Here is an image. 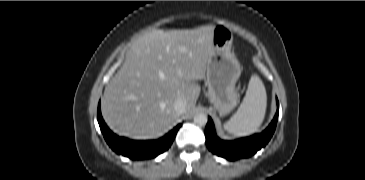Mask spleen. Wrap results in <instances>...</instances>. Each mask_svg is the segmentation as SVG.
I'll return each instance as SVG.
<instances>
[{
    "mask_svg": "<svg viewBox=\"0 0 365 180\" xmlns=\"http://www.w3.org/2000/svg\"><path fill=\"white\" fill-rule=\"evenodd\" d=\"M267 107V94L262 80L252 75L246 95L237 112L224 124V129L234 136L243 137L255 133L261 126Z\"/></svg>",
    "mask_w": 365,
    "mask_h": 180,
    "instance_id": "3e777b00",
    "label": "spleen"
}]
</instances>
